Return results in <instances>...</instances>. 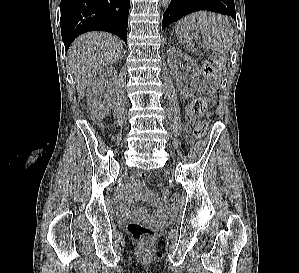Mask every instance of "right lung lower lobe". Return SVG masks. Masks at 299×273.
<instances>
[{
	"label": "right lung lower lobe",
	"mask_w": 299,
	"mask_h": 273,
	"mask_svg": "<svg viewBox=\"0 0 299 273\" xmlns=\"http://www.w3.org/2000/svg\"><path fill=\"white\" fill-rule=\"evenodd\" d=\"M130 0H61V35L67 51L88 31H107L127 43Z\"/></svg>",
	"instance_id": "1"
}]
</instances>
